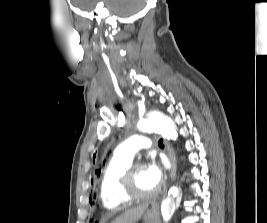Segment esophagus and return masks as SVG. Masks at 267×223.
I'll use <instances>...</instances> for the list:
<instances>
[{
	"label": "esophagus",
	"mask_w": 267,
	"mask_h": 223,
	"mask_svg": "<svg viewBox=\"0 0 267 223\" xmlns=\"http://www.w3.org/2000/svg\"><path fill=\"white\" fill-rule=\"evenodd\" d=\"M165 146L168 152V158L171 163L170 177L173 179L176 174V168H177L176 155L174 149L172 148L170 143L167 142L166 140H165Z\"/></svg>",
	"instance_id": "esophagus-1"
}]
</instances>
